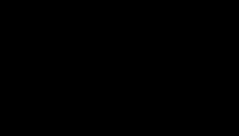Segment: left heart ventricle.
<instances>
[{"label": "left heart ventricle", "mask_w": 239, "mask_h": 136, "mask_svg": "<svg viewBox=\"0 0 239 136\" xmlns=\"http://www.w3.org/2000/svg\"><path fill=\"white\" fill-rule=\"evenodd\" d=\"M171 35L169 28H165L158 36L157 40L160 43V46H163L166 43L167 38Z\"/></svg>", "instance_id": "left-heart-ventricle-1"}]
</instances>
